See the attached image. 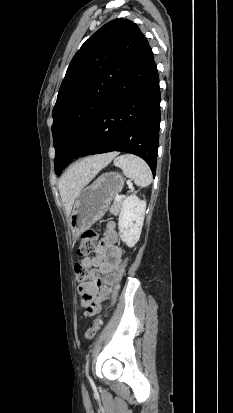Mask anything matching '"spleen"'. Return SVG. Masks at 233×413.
I'll use <instances>...</instances> for the list:
<instances>
[{"label":"spleen","mask_w":233,"mask_h":413,"mask_svg":"<svg viewBox=\"0 0 233 413\" xmlns=\"http://www.w3.org/2000/svg\"><path fill=\"white\" fill-rule=\"evenodd\" d=\"M114 165L121 168L123 174L134 181L139 187H147L152 182V172L148 164L132 154L118 156Z\"/></svg>","instance_id":"3e777b00"}]
</instances>
